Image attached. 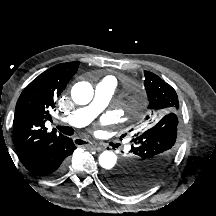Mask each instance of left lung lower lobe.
<instances>
[{
	"label": "left lung lower lobe",
	"mask_w": 216,
	"mask_h": 216,
	"mask_svg": "<svg viewBox=\"0 0 216 216\" xmlns=\"http://www.w3.org/2000/svg\"><path fill=\"white\" fill-rule=\"evenodd\" d=\"M107 177H108V175L106 174L104 177H103V181H104V183L106 184V180H107ZM107 185V184H106ZM109 187V186H108ZM110 188V187H109ZM111 189V188H110ZM123 195H130V194H123Z\"/></svg>",
	"instance_id": "0a47b994"
}]
</instances>
